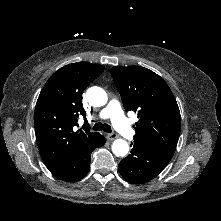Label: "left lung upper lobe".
Instances as JSON below:
<instances>
[{
	"label": "left lung upper lobe",
	"instance_id": "obj_1",
	"mask_svg": "<svg viewBox=\"0 0 221 221\" xmlns=\"http://www.w3.org/2000/svg\"><path fill=\"white\" fill-rule=\"evenodd\" d=\"M111 74L126 111L137 112L135 142L173 156L181 130L176 99L163 78L140 67H113Z\"/></svg>",
	"mask_w": 221,
	"mask_h": 221
}]
</instances>
